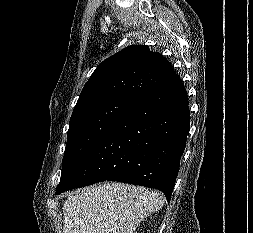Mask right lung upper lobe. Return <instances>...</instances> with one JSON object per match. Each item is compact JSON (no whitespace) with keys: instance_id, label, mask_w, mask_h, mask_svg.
<instances>
[{"instance_id":"obj_1","label":"right lung upper lobe","mask_w":253,"mask_h":233,"mask_svg":"<svg viewBox=\"0 0 253 233\" xmlns=\"http://www.w3.org/2000/svg\"><path fill=\"white\" fill-rule=\"evenodd\" d=\"M174 74L162 54L146 45L128 46L96 68L74 109L111 97L136 100Z\"/></svg>"}]
</instances>
